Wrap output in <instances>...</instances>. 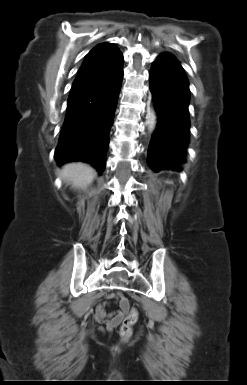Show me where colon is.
<instances>
[{"mask_svg":"<svg viewBox=\"0 0 247 385\" xmlns=\"http://www.w3.org/2000/svg\"><path fill=\"white\" fill-rule=\"evenodd\" d=\"M126 316L119 327V334L123 340H128L132 335V328L139 318V312L136 307L125 306Z\"/></svg>","mask_w":247,"mask_h":385,"instance_id":"5ec220e1","label":"colon"}]
</instances>
